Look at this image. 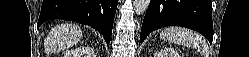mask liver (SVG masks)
Listing matches in <instances>:
<instances>
[{"label":"liver","instance_id":"liver-1","mask_svg":"<svg viewBox=\"0 0 249 57\" xmlns=\"http://www.w3.org/2000/svg\"><path fill=\"white\" fill-rule=\"evenodd\" d=\"M83 33L77 24L62 23L53 27L45 39V52H59L76 45Z\"/></svg>","mask_w":249,"mask_h":57}]
</instances>
